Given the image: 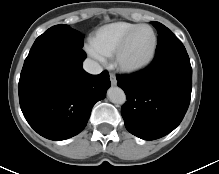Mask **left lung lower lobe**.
Masks as SVG:
<instances>
[{"label":"left lung lower lobe","mask_w":219,"mask_h":174,"mask_svg":"<svg viewBox=\"0 0 219 174\" xmlns=\"http://www.w3.org/2000/svg\"><path fill=\"white\" fill-rule=\"evenodd\" d=\"M117 81L127 95L121 114L131 134L155 140L181 123L192 90V68L186 50L155 55L146 69L117 75Z\"/></svg>","instance_id":"left-lung-lower-lobe-1"}]
</instances>
